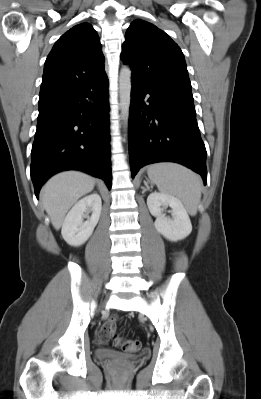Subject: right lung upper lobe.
I'll use <instances>...</instances> for the list:
<instances>
[{"label":"right lung upper lobe","instance_id":"right-lung-upper-lobe-1","mask_svg":"<svg viewBox=\"0 0 261 399\" xmlns=\"http://www.w3.org/2000/svg\"><path fill=\"white\" fill-rule=\"evenodd\" d=\"M99 37L88 23L63 34L49 53L39 99L50 97L105 76Z\"/></svg>","mask_w":261,"mask_h":399}]
</instances>
